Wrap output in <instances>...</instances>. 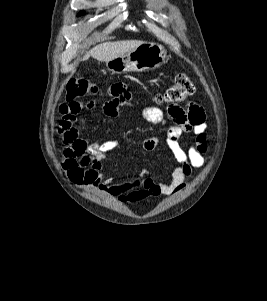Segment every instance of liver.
I'll return each mask as SVG.
<instances>
[{
	"label": "liver",
	"mask_w": 267,
	"mask_h": 301,
	"mask_svg": "<svg viewBox=\"0 0 267 301\" xmlns=\"http://www.w3.org/2000/svg\"><path fill=\"white\" fill-rule=\"evenodd\" d=\"M143 41L140 40H127V41H118V42H105L99 44L92 48L89 53H87L83 60L88 59L91 55L94 59L98 61H109L117 57L123 56L132 49L143 44Z\"/></svg>",
	"instance_id": "obj_1"
}]
</instances>
